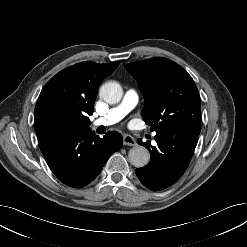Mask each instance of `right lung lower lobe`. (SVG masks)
<instances>
[{
  "instance_id": "98d812e1",
  "label": "right lung lower lobe",
  "mask_w": 247,
  "mask_h": 247,
  "mask_svg": "<svg viewBox=\"0 0 247 247\" xmlns=\"http://www.w3.org/2000/svg\"><path fill=\"white\" fill-rule=\"evenodd\" d=\"M123 139L117 132L103 138L89 129L49 131L39 142L41 152L54 175L64 184L81 188L93 181Z\"/></svg>"
}]
</instances>
